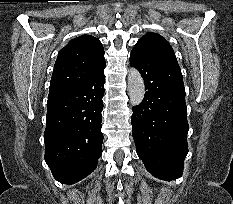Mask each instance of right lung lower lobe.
<instances>
[{
  "label": "right lung lower lobe",
  "mask_w": 233,
  "mask_h": 204,
  "mask_svg": "<svg viewBox=\"0 0 233 204\" xmlns=\"http://www.w3.org/2000/svg\"><path fill=\"white\" fill-rule=\"evenodd\" d=\"M104 69L89 82L49 95L45 161L56 180L74 184L88 176L102 153Z\"/></svg>",
  "instance_id": "98d812e1"
}]
</instances>
